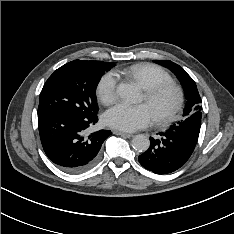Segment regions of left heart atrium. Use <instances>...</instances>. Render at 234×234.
<instances>
[{"label":"left heart atrium","instance_id":"1","mask_svg":"<svg viewBox=\"0 0 234 234\" xmlns=\"http://www.w3.org/2000/svg\"><path fill=\"white\" fill-rule=\"evenodd\" d=\"M103 120L111 128L132 132L148 126L153 115L146 104L132 106L119 103L105 112Z\"/></svg>","mask_w":234,"mask_h":234}]
</instances>
